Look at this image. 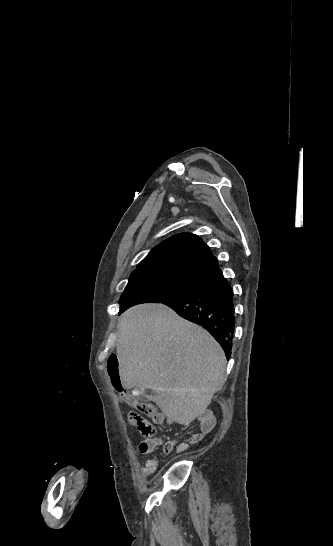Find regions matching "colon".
I'll list each match as a JSON object with an SVG mask.
<instances>
[{
	"label": "colon",
	"instance_id": "obj_1",
	"mask_svg": "<svg viewBox=\"0 0 333 546\" xmlns=\"http://www.w3.org/2000/svg\"><path fill=\"white\" fill-rule=\"evenodd\" d=\"M106 367L117 395L134 410L127 416L129 425L137 427L144 437L154 436L155 428L143 416V414L153 416L156 413L154 406L146 401L128 396L127 391L121 385L119 359L117 356H109Z\"/></svg>",
	"mask_w": 333,
	"mask_h": 546
}]
</instances>
